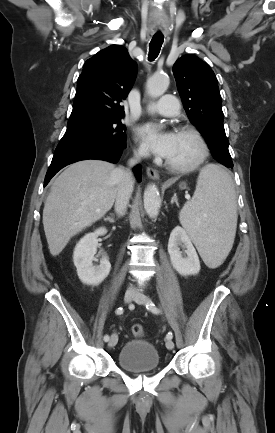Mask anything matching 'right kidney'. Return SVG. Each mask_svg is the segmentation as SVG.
<instances>
[{
  "mask_svg": "<svg viewBox=\"0 0 275 433\" xmlns=\"http://www.w3.org/2000/svg\"><path fill=\"white\" fill-rule=\"evenodd\" d=\"M106 232L105 228H99L93 233L86 234L74 249V265L77 268L79 279L84 284L99 285L110 272L111 264L107 257H103L98 266H94L92 263L97 251V238Z\"/></svg>",
  "mask_w": 275,
  "mask_h": 433,
  "instance_id": "ca27d5eb",
  "label": "right kidney"
}]
</instances>
